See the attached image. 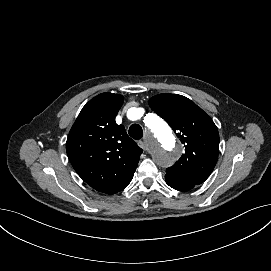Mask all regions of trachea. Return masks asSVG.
Instances as JSON below:
<instances>
[{"label":"trachea","mask_w":271,"mask_h":271,"mask_svg":"<svg viewBox=\"0 0 271 271\" xmlns=\"http://www.w3.org/2000/svg\"><path fill=\"white\" fill-rule=\"evenodd\" d=\"M128 133L135 140H140L143 137V130L138 124H132L128 130Z\"/></svg>","instance_id":"3493384b"}]
</instances>
